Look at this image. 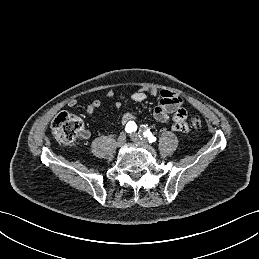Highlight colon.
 Instances as JSON below:
<instances>
[{
  "mask_svg": "<svg viewBox=\"0 0 259 259\" xmlns=\"http://www.w3.org/2000/svg\"><path fill=\"white\" fill-rule=\"evenodd\" d=\"M192 130L196 133L202 129V122L199 118L191 121ZM54 138L61 144L72 143L83 129L82 120L72 114L62 112L57 115L52 123Z\"/></svg>",
  "mask_w": 259,
  "mask_h": 259,
  "instance_id": "5ec220e1",
  "label": "colon"
}]
</instances>
